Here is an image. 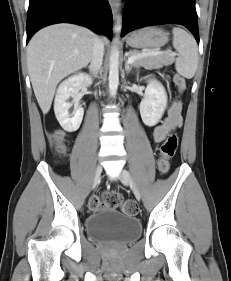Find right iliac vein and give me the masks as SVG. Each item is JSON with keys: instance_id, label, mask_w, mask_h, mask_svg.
Listing matches in <instances>:
<instances>
[{"instance_id": "right-iliac-vein-1", "label": "right iliac vein", "mask_w": 231, "mask_h": 281, "mask_svg": "<svg viewBox=\"0 0 231 281\" xmlns=\"http://www.w3.org/2000/svg\"><path fill=\"white\" fill-rule=\"evenodd\" d=\"M102 172V167L101 165H97L96 170H95V176H94V181H93V186H96L99 181H100V176Z\"/></svg>"}]
</instances>
